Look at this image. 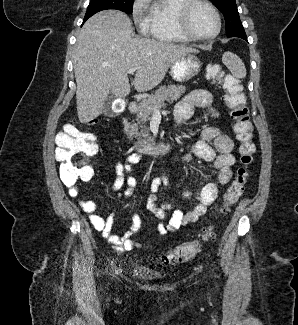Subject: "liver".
I'll return each instance as SVG.
<instances>
[{"mask_svg":"<svg viewBox=\"0 0 298 325\" xmlns=\"http://www.w3.org/2000/svg\"><path fill=\"white\" fill-rule=\"evenodd\" d=\"M132 22L121 10H101L83 24L75 44L74 76L80 122H90L103 112L108 94H130L129 68L137 92L162 82L172 62L187 52H200L186 44L155 38H132Z\"/></svg>","mask_w":298,"mask_h":325,"instance_id":"obj_1","label":"liver"}]
</instances>
